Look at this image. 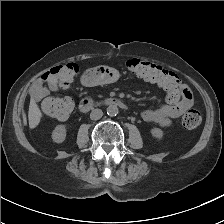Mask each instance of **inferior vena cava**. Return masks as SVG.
<instances>
[{"label":"inferior vena cava","mask_w":224,"mask_h":224,"mask_svg":"<svg viewBox=\"0 0 224 224\" xmlns=\"http://www.w3.org/2000/svg\"><path fill=\"white\" fill-rule=\"evenodd\" d=\"M103 116V112L101 109H94L90 113L91 120H99Z\"/></svg>","instance_id":"obj_1"}]
</instances>
